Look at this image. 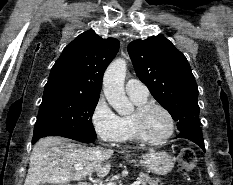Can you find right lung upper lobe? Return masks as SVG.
<instances>
[{
  "mask_svg": "<svg viewBox=\"0 0 233 185\" xmlns=\"http://www.w3.org/2000/svg\"><path fill=\"white\" fill-rule=\"evenodd\" d=\"M119 50L115 38L86 31L68 44L51 69L44 92L99 96L105 69Z\"/></svg>",
  "mask_w": 233,
  "mask_h": 185,
  "instance_id": "cb5924a9",
  "label": "right lung upper lobe"
}]
</instances>
